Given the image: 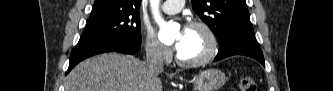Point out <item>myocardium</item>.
Segmentation results:
<instances>
[{
    "label": "myocardium",
    "mask_w": 333,
    "mask_h": 91,
    "mask_svg": "<svg viewBox=\"0 0 333 91\" xmlns=\"http://www.w3.org/2000/svg\"><path fill=\"white\" fill-rule=\"evenodd\" d=\"M188 28H199L205 33L209 43L208 50L205 55L195 60L183 59L179 53H177V63L184 67H198L207 64L217 55L218 52V39L214 30L207 23L200 20L191 21L188 24Z\"/></svg>",
    "instance_id": "myocardium-1"
}]
</instances>
